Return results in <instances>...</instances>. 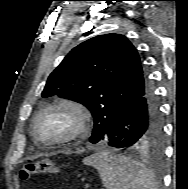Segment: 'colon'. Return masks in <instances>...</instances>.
<instances>
[{
  "mask_svg": "<svg viewBox=\"0 0 188 189\" xmlns=\"http://www.w3.org/2000/svg\"><path fill=\"white\" fill-rule=\"evenodd\" d=\"M57 171V166L51 160L27 161L22 165L19 176L22 180L27 181L34 175L56 173Z\"/></svg>",
  "mask_w": 188,
  "mask_h": 189,
  "instance_id": "obj_1",
  "label": "colon"
}]
</instances>
